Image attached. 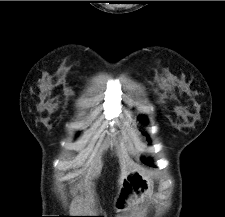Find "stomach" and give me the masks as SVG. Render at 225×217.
Returning a JSON list of instances; mask_svg holds the SVG:
<instances>
[{"mask_svg": "<svg viewBox=\"0 0 225 217\" xmlns=\"http://www.w3.org/2000/svg\"><path fill=\"white\" fill-rule=\"evenodd\" d=\"M149 184L148 179L145 177V175L137 170H133L129 172L126 176V178L123 180L122 188L124 187H131L134 186H143Z\"/></svg>", "mask_w": 225, "mask_h": 217, "instance_id": "stomach-1", "label": "stomach"}]
</instances>
